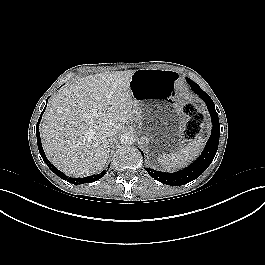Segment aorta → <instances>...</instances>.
Returning a JSON list of instances; mask_svg holds the SVG:
<instances>
[{"mask_svg":"<svg viewBox=\"0 0 265 265\" xmlns=\"http://www.w3.org/2000/svg\"><path fill=\"white\" fill-rule=\"evenodd\" d=\"M135 141V136L131 132H125L120 137V142L123 145H132Z\"/></svg>","mask_w":265,"mask_h":265,"instance_id":"1","label":"aorta"}]
</instances>
